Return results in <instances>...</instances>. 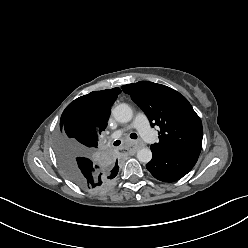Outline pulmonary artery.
Here are the masks:
<instances>
[{
	"instance_id": "1",
	"label": "pulmonary artery",
	"mask_w": 248,
	"mask_h": 248,
	"mask_svg": "<svg viewBox=\"0 0 248 248\" xmlns=\"http://www.w3.org/2000/svg\"><path fill=\"white\" fill-rule=\"evenodd\" d=\"M131 128H136L139 131L142 138L145 141L150 142L151 136H152V131H151V128L149 127L148 119H147L146 115L143 113L137 114L130 126H128L127 128L120 129V130L116 131L112 135V137L118 138L124 132H126L127 130H129Z\"/></svg>"
}]
</instances>
